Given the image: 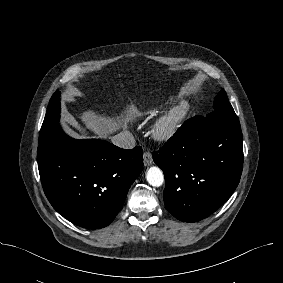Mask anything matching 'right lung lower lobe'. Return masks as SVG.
<instances>
[{
    "label": "right lung lower lobe",
    "instance_id": "1",
    "mask_svg": "<svg viewBox=\"0 0 283 283\" xmlns=\"http://www.w3.org/2000/svg\"><path fill=\"white\" fill-rule=\"evenodd\" d=\"M42 186L53 208L89 229L109 225L143 168L140 146L121 149L98 139L69 138L59 125L38 146Z\"/></svg>",
    "mask_w": 283,
    "mask_h": 283
}]
</instances>
